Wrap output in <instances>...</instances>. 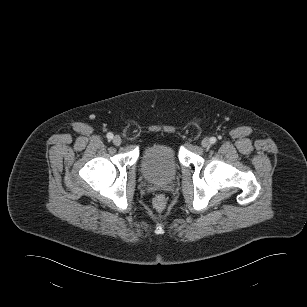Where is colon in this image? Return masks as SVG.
<instances>
[{"label":"colon","instance_id":"colon-1","mask_svg":"<svg viewBox=\"0 0 307 307\" xmlns=\"http://www.w3.org/2000/svg\"><path fill=\"white\" fill-rule=\"evenodd\" d=\"M153 204L157 210H162L166 205V199L163 195H157L154 198Z\"/></svg>","mask_w":307,"mask_h":307}]
</instances>
